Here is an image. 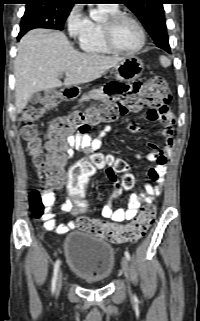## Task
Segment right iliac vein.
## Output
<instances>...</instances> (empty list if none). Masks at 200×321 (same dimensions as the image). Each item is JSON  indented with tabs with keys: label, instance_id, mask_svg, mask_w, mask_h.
<instances>
[{
	"label": "right iliac vein",
	"instance_id": "right-iliac-vein-1",
	"mask_svg": "<svg viewBox=\"0 0 200 321\" xmlns=\"http://www.w3.org/2000/svg\"><path fill=\"white\" fill-rule=\"evenodd\" d=\"M62 281H63V275L62 272L59 273L58 279H57V286H56V292L59 293L62 287Z\"/></svg>",
	"mask_w": 200,
	"mask_h": 321
}]
</instances>
